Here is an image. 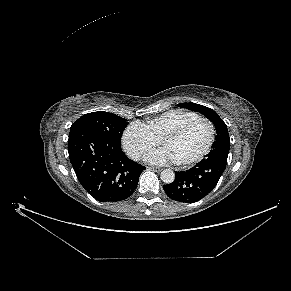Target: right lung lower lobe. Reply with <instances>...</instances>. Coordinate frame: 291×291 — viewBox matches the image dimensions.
<instances>
[{
  "instance_id": "right-lung-lower-lobe-1",
  "label": "right lung lower lobe",
  "mask_w": 291,
  "mask_h": 291,
  "mask_svg": "<svg viewBox=\"0 0 291 291\" xmlns=\"http://www.w3.org/2000/svg\"><path fill=\"white\" fill-rule=\"evenodd\" d=\"M68 153L81 185L101 202H117L130 197L145 169L130 160L121 146L87 131L69 135Z\"/></svg>"
}]
</instances>
